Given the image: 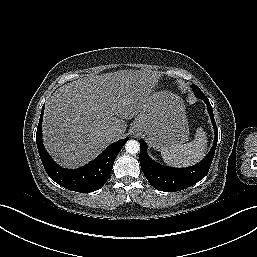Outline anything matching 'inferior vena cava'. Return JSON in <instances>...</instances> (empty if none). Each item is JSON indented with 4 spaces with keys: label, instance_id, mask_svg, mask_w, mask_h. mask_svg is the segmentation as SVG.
I'll use <instances>...</instances> for the list:
<instances>
[{
    "label": "inferior vena cava",
    "instance_id": "inferior-vena-cava-1",
    "mask_svg": "<svg viewBox=\"0 0 257 257\" xmlns=\"http://www.w3.org/2000/svg\"><path fill=\"white\" fill-rule=\"evenodd\" d=\"M106 136H107L108 138H110V139H113V138H115V137L117 136V134H116V131H115V130H108V131L106 132Z\"/></svg>",
    "mask_w": 257,
    "mask_h": 257
}]
</instances>
